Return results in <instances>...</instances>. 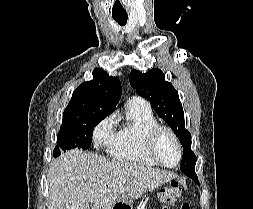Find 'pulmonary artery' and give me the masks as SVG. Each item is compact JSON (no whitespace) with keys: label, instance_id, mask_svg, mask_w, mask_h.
<instances>
[{"label":"pulmonary artery","instance_id":"1","mask_svg":"<svg viewBox=\"0 0 253 209\" xmlns=\"http://www.w3.org/2000/svg\"><path fill=\"white\" fill-rule=\"evenodd\" d=\"M137 97H133L132 99H136Z\"/></svg>","mask_w":253,"mask_h":209}]
</instances>
